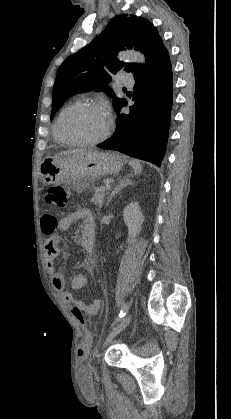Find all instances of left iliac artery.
<instances>
[{"mask_svg":"<svg viewBox=\"0 0 231 419\" xmlns=\"http://www.w3.org/2000/svg\"><path fill=\"white\" fill-rule=\"evenodd\" d=\"M128 312V305L127 304H123L121 311L118 315V317L115 319V321L113 322V325H115L117 322H119Z\"/></svg>","mask_w":231,"mask_h":419,"instance_id":"left-iliac-artery-1","label":"left iliac artery"}]
</instances>
